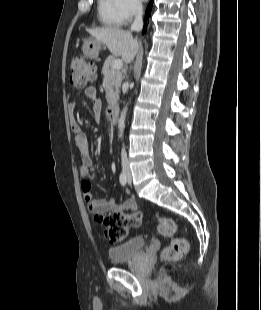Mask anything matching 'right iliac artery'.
I'll list each match as a JSON object with an SVG mask.
<instances>
[{
	"mask_svg": "<svg viewBox=\"0 0 261 310\" xmlns=\"http://www.w3.org/2000/svg\"><path fill=\"white\" fill-rule=\"evenodd\" d=\"M121 185L125 186L127 182V177L124 173V171L121 172L120 177H119Z\"/></svg>",
	"mask_w": 261,
	"mask_h": 310,
	"instance_id": "right-iliac-artery-1",
	"label": "right iliac artery"
}]
</instances>
